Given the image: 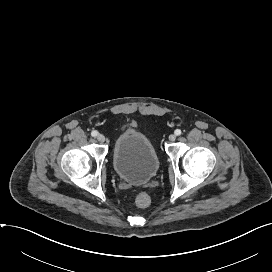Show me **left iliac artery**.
<instances>
[{
  "mask_svg": "<svg viewBox=\"0 0 272 272\" xmlns=\"http://www.w3.org/2000/svg\"><path fill=\"white\" fill-rule=\"evenodd\" d=\"M174 133H175V135L179 136V135H181L182 132L180 129H176Z\"/></svg>",
  "mask_w": 272,
  "mask_h": 272,
  "instance_id": "1",
  "label": "left iliac artery"
}]
</instances>
